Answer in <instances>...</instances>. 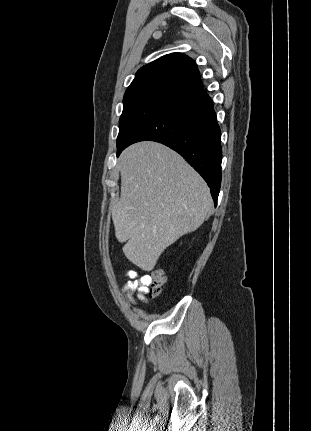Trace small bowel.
Wrapping results in <instances>:
<instances>
[{"mask_svg": "<svg viewBox=\"0 0 311 431\" xmlns=\"http://www.w3.org/2000/svg\"><path fill=\"white\" fill-rule=\"evenodd\" d=\"M129 281L123 286V291L126 293L127 299L131 304L141 306L147 302V294L150 292V277L149 275L138 277V273L134 270L127 271L124 274Z\"/></svg>", "mask_w": 311, "mask_h": 431, "instance_id": "obj_1", "label": "small bowel"}]
</instances>
